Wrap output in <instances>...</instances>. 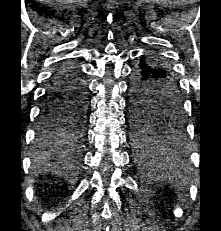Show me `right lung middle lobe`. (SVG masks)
Returning a JSON list of instances; mask_svg holds the SVG:
<instances>
[{"instance_id": "dd1d6c3e", "label": "right lung middle lobe", "mask_w": 221, "mask_h": 231, "mask_svg": "<svg viewBox=\"0 0 221 231\" xmlns=\"http://www.w3.org/2000/svg\"><path fill=\"white\" fill-rule=\"evenodd\" d=\"M87 99L51 104L40 115L37 143L47 147L80 141L83 133Z\"/></svg>"}]
</instances>
